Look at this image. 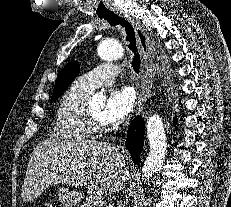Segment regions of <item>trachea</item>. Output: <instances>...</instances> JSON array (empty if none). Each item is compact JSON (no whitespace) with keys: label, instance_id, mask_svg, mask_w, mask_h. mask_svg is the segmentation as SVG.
I'll return each instance as SVG.
<instances>
[{"label":"trachea","instance_id":"1","mask_svg":"<svg viewBox=\"0 0 231 207\" xmlns=\"http://www.w3.org/2000/svg\"><path fill=\"white\" fill-rule=\"evenodd\" d=\"M99 18L100 19L104 18L112 26L121 25L123 28H125L126 40L129 42L128 48L134 54L133 60H132V68L135 71V73H138L140 69V65H141V58L138 53L135 31H134L133 26L127 20H125L124 18H122L121 16L113 12L109 14L101 15L99 16Z\"/></svg>","mask_w":231,"mask_h":207}]
</instances>
